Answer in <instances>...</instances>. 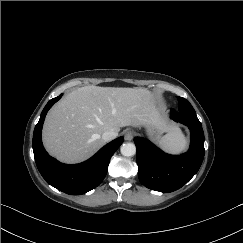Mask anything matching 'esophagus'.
Instances as JSON below:
<instances>
[{
	"mask_svg": "<svg viewBox=\"0 0 243 243\" xmlns=\"http://www.w3.org/2000/svg\"><path fill=\"white\" fill-rule=\"evenodd\" d=\"M134 136H135V132L131 129L126 130L124 133V138L127 141L132 140Z\"/></svg>",
	"mask_w": 243,
	"mask_h": 243,
	"instance_id": "1",
	"label": "esophagus"
}]
</instances>
